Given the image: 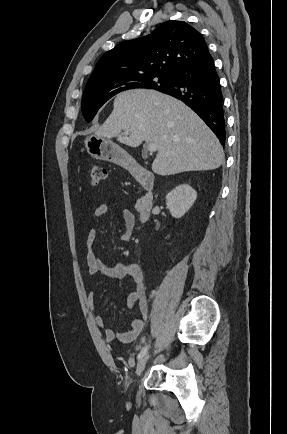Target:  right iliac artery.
Returning a JSON list of instances; mask_svg holds the SVG:
<instances>
[{"mask_svg": "<svg viewBox=\"0 0 287 434\" xmlns=\"http://www.w3.org/2000/svg\"><path fill=\"white\" fill-rule=\"evenodd\" d=\"M149 346L150 345H146L141 349L140 353L138 354V359H141L147 353Z\"/></svg>", "mask_w": 287, "mask_h": 434, "instance_id": "1", "label": "right iliac artery"}]
</instances>
